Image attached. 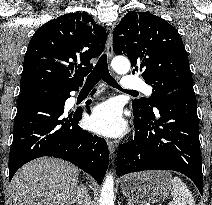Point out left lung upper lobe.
Instances as JSON below:
<instances>
[{"mask_svg":"<svg viewBox=\"0 0 212 205\" xmlns=\"http://www.w3.org/2000/svg\"><path fill=\"white\" fill-rule=\"evenodd\" d=\"M113 50L125 54L135 71L142 72L153 87L152 96L133 102L142 112L151 111L170 92L193 90L187 52L177 30L165 20L146 12H129L116 26Z\"/></svg>","mask_w":212,"mask_h":205,"instance_id":"left-lung-upper-lobe-1","label":"left lung upper lobe"}]
</instances>
